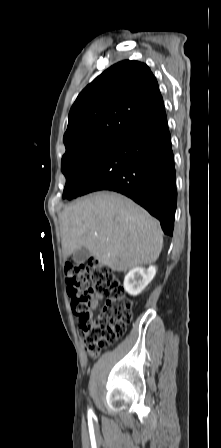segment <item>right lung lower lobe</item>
I'll use <instances>...</instances> for the list:
<instances>
[{"instance_id": "1", "label": "right lung lower lobe", "mask_w": 221, "mask_h": 448, "mask_svg": "<svg viewBox=\"0 0 221 448\" xmlns=\"http://www.w3.org/2000/svg\"><path fill=\"white\" fill-rule=\"evenodd\" d=\"M98 190L130 197L159 219L164 233L172 236L177 192L164 106L121 134L81 195Z\"/></svg>"}]
</instances>
